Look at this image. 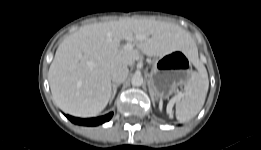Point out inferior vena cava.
Here are the masks:
<instances>
[{"mask_svg":"<svg viewBox=\"0 0 261 150\" xmlns=\"http://www.w3.org/2000/svg\"><path fill=\"white\" fill-rule=\"evenodd\" d=\"M129 70L127 66H116L111 70V80L113 84L123 83L128 77Z\"/></svg>","mask_w":261,"mask_h":150,"instance_id":"602c4592","label":"inferior vena cava"}]
</instances>
